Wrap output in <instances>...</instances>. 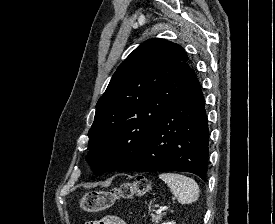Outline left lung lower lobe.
Returning <instances> with one entry per match:
<instances>
[{
  "label": "left lung lower lobe",
  "mask_w": 275,
  "mask_h": 224,
  "mask_svg": "<svg viewBox=\"0 0 275 224\" xmlns=\"http://www.w3.org/2000/svg\"><path fill=\"white\" fill-rule=\"evenodd\" d=\"M208 157V121L195 76L153 126L136 159L124 171H184L205 181Z\"/></svg>",
  "instance_id": "obj_1"
}]
</instances>
